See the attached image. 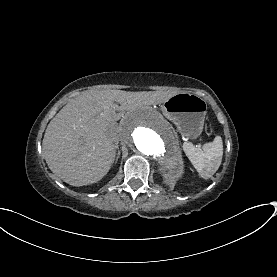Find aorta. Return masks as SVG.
Instances as JSON below:
<instances>
[{
  "mask_svg": "<svg viewBox=\"0 0 277 277\" xmlns=\"http://www.w3.org/2000/svg\"><path fill=\"white\" fill-rule=\"evenodd\" d=\"M124 143L167 175L182 174L183 160L175 131L158 113L141 109L124 122Z\"/></svg>",
  "mask_w": 277,
  "mask_h": 277,
  "instance_id": "1",
  "label": "aorta"
}]
</instances>
